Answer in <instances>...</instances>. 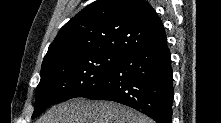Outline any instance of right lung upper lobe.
Here are the masks:
<instances>
[{"mask_svg":"<svg viewBox=\"0 0 221 123\" xmlns=\"http://www.w3.org/2000/svg\"><path fill=\"white\" fill-rule=\"evenodd\" d=\"M165 43L162 21L146 0H97L60 29L42 64L81 51L128 54Z\"/></svg>","mask_w":221,"mask_h":123,"instance_id":"right-lung-upper-lobe-1","label":"right lung upper lobe"}]
</instances>
